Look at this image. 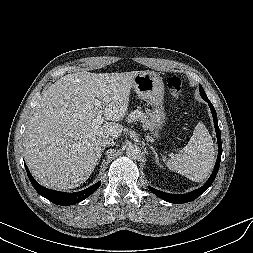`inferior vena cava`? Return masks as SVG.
<instances>
[{
  "label": "inferior vena cava",
  "mask_w": 253,
  "mask_h": 253,
  "mask_svg": "<svg viewBox=\"0 0 253 253\" xmlns=\"http://www.w3.org/2000/svg\"><path fill=\"white\" fill-rule=\"evenodd\" d=\"M114 140L113 138L110 137H103L100 141L101 146H106V145H114Z\"/></svg>",
  "instance_id": "1"
}]
</instances>
